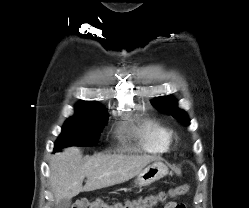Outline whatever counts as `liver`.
I'll list each match as a JSON object with an SVG mask.
<instances>
[{"label":"liver","mask_w":249,"mask_h":208,"mask_svg":"<svg viewBox=\"0 0 249 208\" xmlns=\"http://www.w3.org/2000/svg\"><path fill=\"white\" fill-rule=\"evenodd\" d=\"M150 155H121L98 153L83 158L77 147H68L52 156L50 184L56 203L71 199L83 191L120 184L138 175L150 162ZM87 178L83 187L84 178Z\"/></svg>","instance_id":"obj_1"}]
</instances>
